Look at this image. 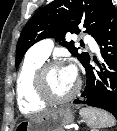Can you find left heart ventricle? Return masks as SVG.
Returning a JSON list of instances; mask_svg holds the SVG:
<instances>
[{"instance_id": "1", "label": "left heart ventricle", "mask_w": 117, "mask_h": 131, "mask_svg": "<svg viewBox=\"0 0 117 131\" xmlns=\"http://www.w3.org/2000/svg\"><path fill=\"white\" fill-rule=\"evenodd\" d=\"M46 80L50 93L56 97H64L70 94L77 82L63 66L49 70L46 74Z\"/></svg>"}]
</instances>
